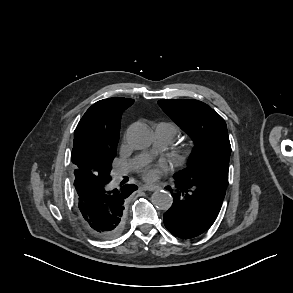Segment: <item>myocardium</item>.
Masks as SVG:
<instances>
[{
	"label": "myocardium",
	"instance_id": "1",
	"mask_svg": "<svg viewBox=\"0 0 293 293\" xmlns=\"http://www.w3.org/2000/svg\"><path fill=\"white\" fill-rule=\"evenodd\" d=\"M193 152V147L191 145H187L184 147L182 151V160H187L188 157L192 154Z\"/></svg>",
	"mask_w": 293,
	"mask_h": 293
}]
</instances>
